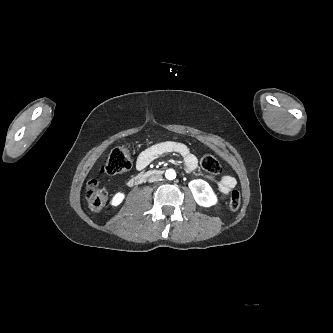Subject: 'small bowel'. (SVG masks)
I'll list each match as a JSON object with an SVG mask.
<instances>
[{"label": "small bowel", "instance_id": "1", "mask_svg": "<svg viewBox=\"0 0 333 333\" xmlns=\"http://www.w3.org/2000/svg\"><path fill=\"white\" fill-rule=\"evenodd\" d=\"M172 153L178 154L183 158L188 172L193 171L197 167V157L191 152L187 145L176 141H165L154 144L143 150L136 160V168L143 170L158 157ZM235 186L236 180L230 175L223 176L218 183V189L222 195H227Z\"/></svg>", "mask_w": 333, "mask_h": 333}]
</instances>
